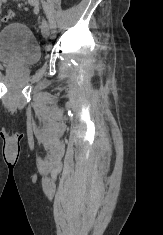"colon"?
I'll use <instances>...</instances> for the list:
<instances>
[{
	"label": "colon",
	"instance_id": "colon-1",
	"mask_svg": "<svg viewBox=\"0 0 163 235\" xmlns=\"http://www.w3.org/2000/svg\"><path fill=\"white\" fill-rule=\"evenodd\" d=\"M15 14L13 11H8L3 17L2 20L7 22L9 20H11L12 18H14Z\"/></svg>",
	"mask_w": 163,
	"mask_h": 235
}]
</instances>
